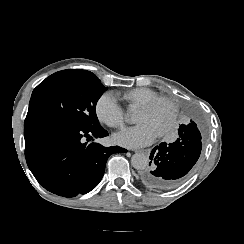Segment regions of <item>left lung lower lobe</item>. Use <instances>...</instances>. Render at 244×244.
I'll use <instances>...</instances> for the list:
<instances>
[{
  "label": "left lung lower lobe",
  "instance_id": "1",
  "mask_svg": "<svg viewBox=\"0 0 244 244\" xmlns=\"http://www.w3.org/2000/svg\"><path fill=\"white\" fill-rule=\"evenodd\" d=\"M179 138L156 146L151 154L150 167L140 172V181L154 189L168 191L179 186L197 162L201 149V133L195 120L182 124ZM152 163V165H151Z\"/></svg>",
  "mask_w": 244,
  "mask_h": 244
}]
</instances>
